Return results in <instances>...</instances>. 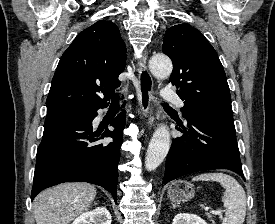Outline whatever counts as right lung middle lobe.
Wrapping results in <instances>:
<instances>
[{"instance_id":"dd1d6c3e","label":"right lung middle lobe","mask_w":275,"mask_h":224,"mask_svg":"<svg viewBox=\"0 0 275 224\" xmlns=\"http://www.w3.org/2000/svg\"><path fill=\"white\" fill-rule=\"evenodd\" d=\"M89 111L88 109H63L54 111L47 114L48 116H54V115H60V114H83L85 112Z\"/></svg>"}]
</instances>
